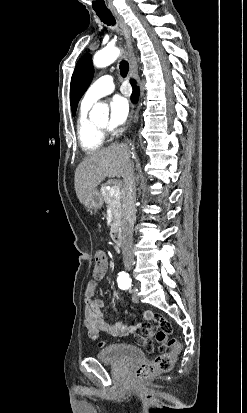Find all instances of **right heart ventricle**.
<instances>
[{
  "label": "right heart ventricle",
  "mask_w": 247,
  "mask_h": 413,
  "mask_svg": "<svg viewBox=\"0 0 247 413\" xmlns=\"http://www.w3.org/2000/svg\"><path fill=\"white\" fill-rule=\"evenodd\" d=\"M89 106L84 104V109L86 110ZM77 136L82 150L87 155H92L94 151H105L101 150L104 143L103 135L96 125L87 118L85 112H82L79 118Z\"/></svg>",
  "instance_id": "e07e8e85"
}]
</instances>
